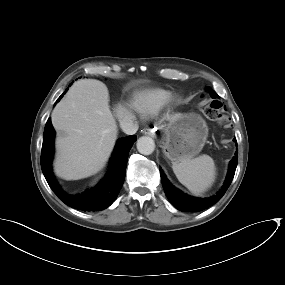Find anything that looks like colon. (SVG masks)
Wrapping results in <instances>:
<instances>
[{"label": "colon", "instance_id": "5ec220e1", "mask_svg": "<svg viewBox=\"0 0 285 285\" xmlns=\"http://www.w3.org/2000/svg\"><path fill=\"white\" fill-rule=\"evenodd\" d=\"M204 113L205 115L214 121H217L218 123H221L223 118L222 114L220 112V103L217 101H214L212 103H205L204 105Z\"/></svg>", "mask_w": 285, "mask_h": 285}]
</instances>
